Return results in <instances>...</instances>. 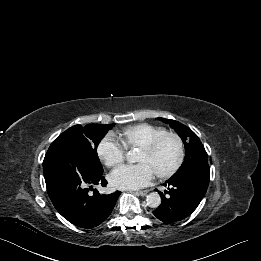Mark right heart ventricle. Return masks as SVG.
Here are the masks:
<instances>
[{
	"label": "right heart ventricle",
	"instance_id": "e07e8e85",
	"mask_svg": "<svg viewBox=\"0 0 261 261\" xmlns=\"http://www.w3.org/2000/svg\"><path fill=\"white\" fill-rule=\"evenodd\" d=\"M166 132L165 128L148 123H139L128 126L116 134L123 147L128 149H140L158 135Z\"/></svg>",
	"mask_w": 261,
	"mask_h": 261
}]
</instances>
